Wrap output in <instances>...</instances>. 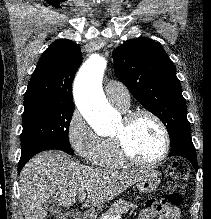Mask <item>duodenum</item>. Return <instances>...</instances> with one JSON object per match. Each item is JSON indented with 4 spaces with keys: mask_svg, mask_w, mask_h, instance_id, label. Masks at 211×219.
Wrapping results in <instances>:
<instances>
[{
    "mask_svg": "<svg viewBox=\"0 0 211 219\" xmlns=\"http://www.w3.org/2000/svg\"><path fill=\"white\" fill-rule=\"evenodd\" d=\"M80 219H94V212L91 210H86L83 213H80Z\"/></svg>",
    "mask_w": 211,
    "mask_h": 219,
    "instance_id": "1",
    "label": "duodenum"
}]
</instances>
